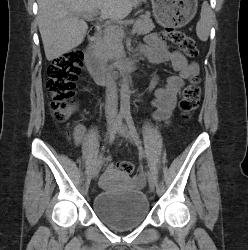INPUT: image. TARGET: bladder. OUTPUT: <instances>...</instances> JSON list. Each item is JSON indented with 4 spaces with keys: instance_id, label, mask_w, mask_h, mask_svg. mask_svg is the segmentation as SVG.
Here are the masks:
<instances>
[{
    "instance_id": "bladder-1",
    "label": "bladder",
    "mask_w": 248,
    "mask_h": 250,
    "mask_svg": "<svg viewBox=\"0 0 248 250\" xmlns=\"http://www.w3.org/2000/svg\"><path fill=\"white\" fill-rule=\"evenodd\" d=\"M93 210L110 227L126 230L138 226L147 218L150 204L141 190H107L94 198Z\"/></svg>"
}]
</instances>
